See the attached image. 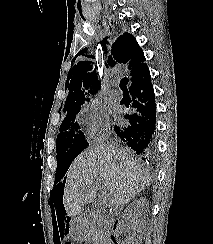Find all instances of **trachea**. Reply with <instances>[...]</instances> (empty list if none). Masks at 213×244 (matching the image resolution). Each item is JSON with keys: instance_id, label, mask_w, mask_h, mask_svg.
<instances>
[{"instance_id": "trachea-1", "label": "trachea", "mask_w": 213, "mask_h": 244, "mask_svg": "<svg viewBox=\"0 0 213 244\" xmlns=\"http://www.w3.org/2000/svg\"><path fill=\"white\" fill-rule=\"evenodd\" d=\"M127 84H128V78H123L120 80V88L123 90V92H128V89H127Z\"/></svg>"}]
</instances>
